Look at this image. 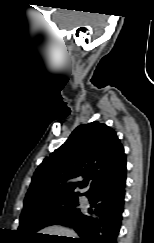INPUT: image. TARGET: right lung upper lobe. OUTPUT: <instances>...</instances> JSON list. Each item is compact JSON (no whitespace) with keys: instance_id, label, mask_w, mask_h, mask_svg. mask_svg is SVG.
I'll return each instance as SVG.
<instances>
[{"instance_id":"obj_1","label":"right lung upper lobe","mask_w":154,"mask_h":243,"mask_svg":"<svg viewBox=\"0 0 154 243\" xmlns=\"http://www.w3.org/2000/svg\"><path fill=\"white\" fill-rule=\"evenodd\" d=\"M125 165L124 150L113 129L97 121L80 125L38 166L24 207L60 196L82 195L74 191L88 184L90 191ZM81 176L86 179L75 182Z\"/></svg>"}]
</instances>
